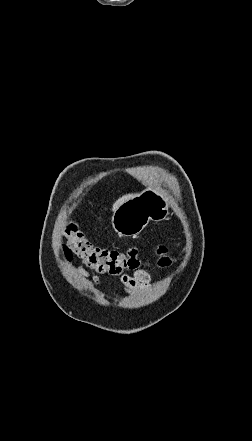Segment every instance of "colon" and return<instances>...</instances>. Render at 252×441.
<instances>
[{"label": "colon", "mask_w": 252, "mask_h": 441, "mask_svg": "<svg viewBox=\"0 0 252 441\" xmlns=\"http://www.w3.org/2000/svg\"><path fill=\"white\" fill-rule=\"evenodd\" d=\"M66 235L69 244L65 245L63 250L67 258H70L74 253L90 268L99 273L118 275L124 270L135 269L142 264L137 248L119 251L95 246L73 224L67 227ZM168 251L169 249L166 246H159L156 249L158 266L166 267L173 262V259L168 255Z\"/></svg>", "instance_id": "obj_1"}]
</instances>
